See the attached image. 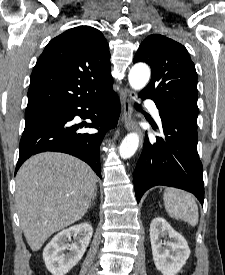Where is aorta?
I'll list each match as a JSON object with an SVG mask.
<instances>
[{"label": "aorta", "instance_id": "762f6f07", "mask_svg": "<svg viewBox=\"0 0 225 275\" xmlns=\"http://www.w3.org/2000/svg\"><path fill=\"white\" fill-rule=\"evenodd\" d=\"M150 68L143 63L134 65L128 75L130 86L135 90L143 89L150 79ZM139 145V136L136 133L128 134L119 147L121 158L128 159L134 155Z\"/></svg>", "mask_w": 225, "mask_h": 275}]
</instances>
